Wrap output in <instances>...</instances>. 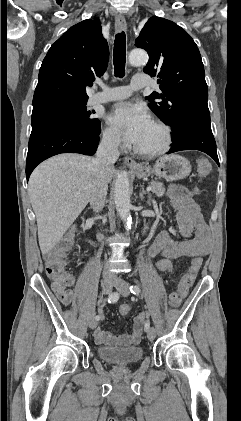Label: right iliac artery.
Returning <instances> with one entry per match:
<instances>
[{
	"label": "right iliac artery",
	"mask_w": 241,
	"mask_h": 421,
	"mask_svg": "<svg viewBox=\"0 0 241 421\" xmlns=\"http://www.w3.org/2000/svg\"><path fill=\"white\" fill-rule=\"evenodd\" d=\"M118 299H119V295L117 293H112L108 296V303H115L118 301ZM95 319L97 321L100 320V316L99 315L95 316Z\"/></svg>",
	"instance_id": "right-iliac-artery-1"
}]
</instances>
